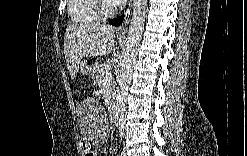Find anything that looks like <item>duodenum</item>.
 <instances>
[{"instance_id":"duodenum-1","label":"duodenum","mask_w":247,"mask_h":156,"mask_svg":"<svg viewBox=\"0 0 247 156\" xmlns=\"http://www.w3.org/2000/svg\"><path fill=\"white\" fill-rule=\"evenodd\" d=\"M116 115V102H115V97L110 96L109 98V116L112 120L115 119Z\"/></svg>"}]
</instances>
